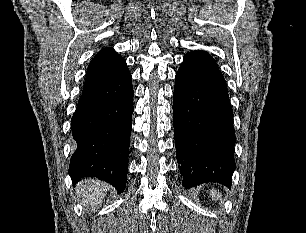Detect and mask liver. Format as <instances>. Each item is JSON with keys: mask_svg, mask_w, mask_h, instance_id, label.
<instances>
[{"mask_svg": "<svg viewBox=\"0 0 306 233\" xmlns=\"http://www.w3.org/2000/svg\"><path fill=\"white\" fill-rule=\"evenodd\" d=\"M108 190L107 184L95 179H84L76 187L78 196L91 211H96L102 205Z\"/></svg>", "mask_w": 306, "mask_h": 233, "instance_id": "obj_1", "label": "liver"}]
</instances>
